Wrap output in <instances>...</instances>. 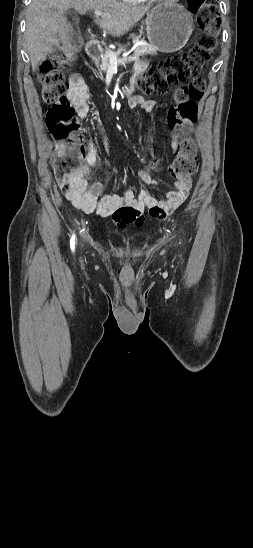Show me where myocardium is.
<instances>
[{"label": "myocardium", "instance_id": "obj_1", "mask_svg": "<svg viewBox=\"0 0 253 548\" xmlns=\"http://www.w3.org/2000/svg\"><path fill=\"white\" fill-rule=\"evenodd\" d=\"M151 1L163 2V1H170V0H151Z\"/></svg>", "mask_w": 253, "mask_h": 548}]
</instances>
